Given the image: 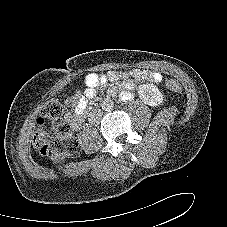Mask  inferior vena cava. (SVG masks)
I'll use <instances>...</instances> for the list:
<instances>
[{"label":"inferior vena cava","instance_id":"602c4592","mask_svg":"<svg viewBox=\"0 0 227 227\" xmlns=\"http://www.w3.org/2000/svg\"><path fill=\"white\" fill-rule=\"evenodd\" d=\"M102 116V112L99 109H94L89 113V119L91 122H96Z\"/></svg>","mask_w":227,"mask_h":227}]
</instances>
